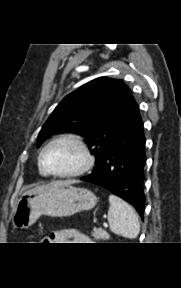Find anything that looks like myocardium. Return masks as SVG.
Returning <instances> with one entry per match:
<instances>
[{
  "label": "myocardium",
  "mask_w": 181,
  "mask_h": 288,
  "mask_svg": "<svg viewBox=\"0 0 181 288\" xmlns=\"http://www.w3.org/2000/svg\"><path fill=\"white\" fill-rule=\"evenodd\" d=\"M58 142L72 143L80 150L81 155H82V163L76 170L67 172V173H54L46 167L44 163L45 152L47 151L49 147H51L52 145ZM38 162H39L41 169L44 171L46 175L55 177V178L64 179V178L77 177V176L84 174L86 171H88L93 165V157L91 155V152L87 144L79 135L74 134V133H63L52 138L49 142L45 144V146L40 151Z\"/></svg>",
  "instance_id": "obj_1"
}]
</instances>
